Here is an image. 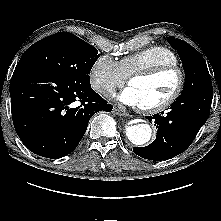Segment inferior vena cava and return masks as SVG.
Listing matches in <instances>:
<instances>
[{
  "instance_id": "inferior-vena-cava-1",
  "label": "inferior vena cava",
  "mask_w": 221,
  "mask_h": 221,
  "mask_svg": "<svg viewBox=\"0 0 221 221\" xmlns=\"http://www.w3.org/2000/svg\"><path fill=\"white\" fill-rule=\"evenodd\" d=\"M106 90L109 91V92L111 91V89L109 87H107Z\"/></svg>"
}]
</instances>
